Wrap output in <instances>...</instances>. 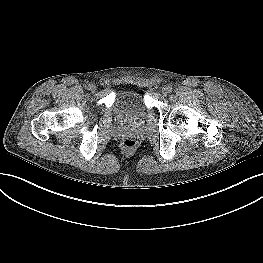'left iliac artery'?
Returning a JSON list of instances; mask_svg holds the SVG:
<instances>
[{
	"mask_svg": "<svg viewBox=\"0 0 263 263\" xmlns=\"http://www.w3.org/2000/svg\"><path fill=\"white\" fill-rule=\"evenodd\" d=\"M167 89H168L169 92H172L173 88H172V86H168Z\"/></svg>",
	"mask_w": 263,
	"mask_h": 263,
	"instance_id": "1",
	"label": "left iliac artery"
}]
</instances>
